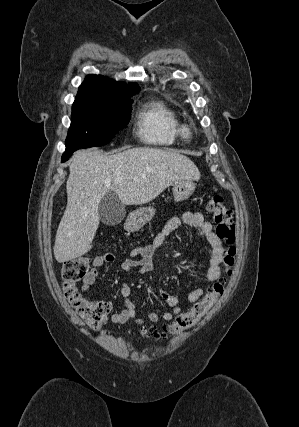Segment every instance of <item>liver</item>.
<instances>
[{
    "mask_svg": "<svg viewBox=\"0 0 299 427\" xmlns=\"http://www.w3.org/2000/svg\"><path fill=\"white\" fill-rule=\"evenodd\" d=\"M69 168L67 207L53 248L59 263L90 251L100 220L98 205L108 191L115 192L123 205H141L177 181L200 179L198 168L187 156L146 147L110 156L97 149L79 150ZM107 180L110 186L105 185Z\"/></svg>",
    "mask_w": 299,
    "mask_h": 427,
    "instance_id": "1",
    "label": "liver"
}]
</instances>
